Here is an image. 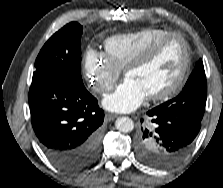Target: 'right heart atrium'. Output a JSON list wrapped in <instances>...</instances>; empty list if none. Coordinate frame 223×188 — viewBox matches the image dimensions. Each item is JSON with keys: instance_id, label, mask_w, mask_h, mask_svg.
<instances>
[{"instance_id": "1", "label": "right heart atrium", "mask_w": 223, "mask_h": 188, "mask_svg": "<svg viewBox=\"0 0 223 188\" xmlns=\"http://www.w3.org/2000/svg\"><path fill=\"white\" fill-rule=\"evenodd\" d=\"M120 73V68L105 53L95 50L86 52L83 74L95 93H107L115 85Z\"/></svg>"}]
</instances>
